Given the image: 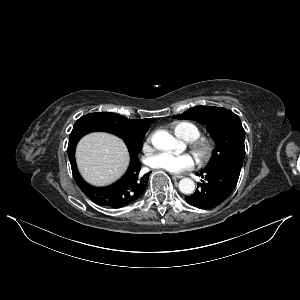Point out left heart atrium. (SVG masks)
Returning a JSON list of instances; mask_svg holds the SVG:
<instances>
[{
    "instance_id": "obj_1",
    "label": "left heart atrium",
    "mask_w": 300,
    "mask_h": 300,
    "mask_svg": "<svg viewBox=\"0 0 300 300\" xmlns=\"http://www.w3.org/2000/svg\"><path fill=\"white\" fill-rule=\"evenodd\" d=\"M195 163L196 159L192 154L177 155L169 152L153 154L147 160L149 167L171 173H180L192 169Z\"/></svg>"
}]
</instances>
